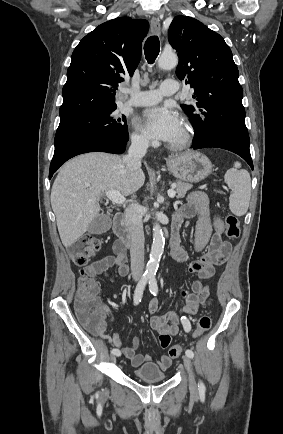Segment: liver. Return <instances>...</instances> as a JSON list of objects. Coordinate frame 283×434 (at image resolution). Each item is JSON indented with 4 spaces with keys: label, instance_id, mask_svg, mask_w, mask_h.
Instances as JSON below:
<instances>
[{
    "label": "liver",
    "instance_id": "6515ba94",
    "mask_svg": "<svg viewBox=\"0 0 283 434\" xmlns=\"http://www.w3.org/2000/svg\"><path fill=\"white\" fill-rule=\"evenodd\" d=\"M145 182L141 168L130 171L118 155L92 152L79 155L60 169L51 190V205L62 244L68 248L99 215L107 191L128 196Z\"/></svg>",
    "mask_w": 283,
    "mask_h": 434
}]
</instances>
